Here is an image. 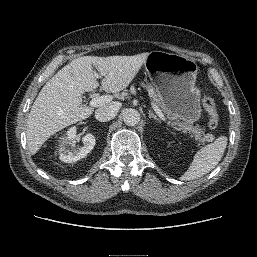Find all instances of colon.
<instances>
[{
  "mask_svg": "<svg viewBox=\"0 0 257 257\" xmlns=\"http://www.w3.org/2000/svg\"><path fill=\"white\" fill-rule=\"evenodd\" d=\"M201 102H202L203 108L205 109L209 117V120H208L209 127L212 129L216 128L219 123V115H218V111H217V107L214 99L208 95H204L202 97Z\"/></svg>",
  "mask_w": 257,
  "mask_h": 257,
  "instance_id": "colon-1",
  "label": "colon"
}]
</instances>
